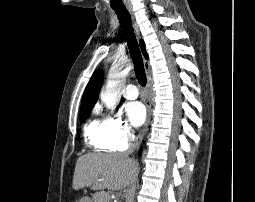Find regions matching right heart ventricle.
Returning <instances> with one entry per match:
<instances>
[{
    "label": "right heart ventricle",
    "mask_w": 255,
    "mask_h": 202,
    "mask_svg": "<svg viewBox=\"0 0 255 202\" xmlns=\"http://www.w3.org/2000/svg\"><path fill=\"white\" fill-rule=\"evenodd\" d=\"M84 136L87 144L96 150L108 149L105 139V122L98 119H90L84 127Z\"/></svg>",
    "instance_id": "right-heart-ventricle-1"
}]
</instances>
